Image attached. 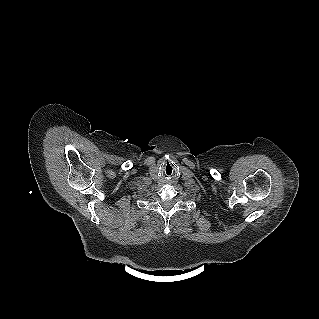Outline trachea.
Masks as SVG:
<instances>
[{
  "label": "trachea",
  "mask_w": 319,
  "mask_h": 319,
  "mask_svg": "<svg viewBox=\"0 0 319 319\" xmlns=\"http://www.w3.org/2000/svg\"><path fill=\"white\" fill-rule=\"evenodd\" d=\"M172 173H173V168L169 163H167L165 168V175L170 176Z\"/></svg>",
  "instance_id": "1"
}]
</instances>
